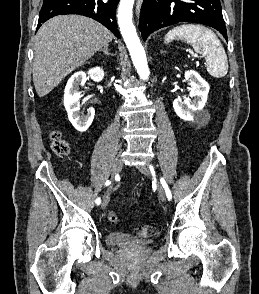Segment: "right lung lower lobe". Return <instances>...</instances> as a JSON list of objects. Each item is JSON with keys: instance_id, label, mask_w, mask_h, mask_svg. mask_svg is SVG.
I'll return each instance as SVG.
<instances>
[{"instance_id": "right-lung-lower-lobe-1", "label": "right lung lower lobe", "mask_w": 259, "mask_h": 294, "mask_svg": "<svg viewBox=\"0 0 259 294\" xmlns=\"http://www.w3.org/2000/svg\"><path fill=\"white\" fill-rule=\"evenodd\" d=\"M118 2L119 0H44L36 31L42 23L56 15L81 14L102 23L120 38L115 18Z\"/></svg>"}]
</instances>
